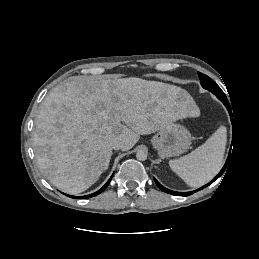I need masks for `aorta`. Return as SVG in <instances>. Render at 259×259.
Segmentation results:
<instances>
[{
  "label": "aorta",
  "mask_w": 259,
  "mask_h": 259,
  "mask_svg": "<svg viewBox=\"0 0 259 259\" xmlns=\"http://www.w3.org/2000/svg\"><path fill=\"white\" fill-rule=\"evenodd\" d=\"M136 158L140 161H145L147 159V153L143 150H138L136 153Z\"/></svg>",
  "instance_id": "aorta-1"
}]
</instances>
